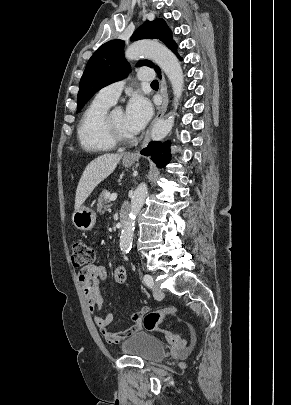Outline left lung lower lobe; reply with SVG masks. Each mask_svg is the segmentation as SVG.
I'll list each match as a JSON object with an SVG mask.
<instances>
[{
    "label": "left lung lower lobe",
    "instance_id": "left-lung-lower-lobe-1",
    "mask_svg": "<svg viewBox=\"0 0 291 405\" xmlns=\"http://www.w3.org/2000/svg\"><path fill=\"white\" fill-rule=\"evenodd\" d=\"M177 48V45L174 44L170 49L175 52ZM177 56L179 57L180 60H182V58L177 54ZM156 72L159 74L160 73V69L157 68L155 69ZM160 77V74H159ZM170 142H165L164 144H162L159 141H152L149 143V145L142 149L140 151V153L142 155L145 156H151L152 160L159 166V167H165L170 159Z\"/></svg>",
    "mask_w": 291,
    "mask_h": 405
}]
</instances>
